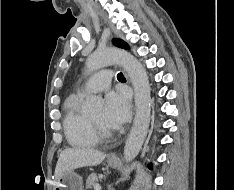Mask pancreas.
Segmentation results:
<instances>
[{
    "label": "pancreas",
    "instance_id": "pancreas-1",
    "mask_svg": "<svg viewBox=\"0 0 234 190\" xmlns=\"http://www.w3.org/2000/svg\"><path fill=\"white\" fill-rule=\"evenodd\" d=\"M99 178H100V176H98L97 174H94V173L89 175V177L86 181V188L88 189V188H91L94 185H96Z\"/></svg>",
    "mask_w": 234,
    "mask_h": 190
}]
</instances>
